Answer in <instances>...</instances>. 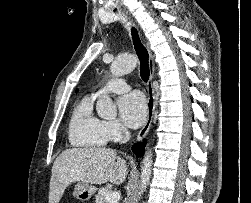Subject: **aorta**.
<instances>
[{"label":"aorta","instance_id":"obj_1","mask_svg":"<svg viewBox=\"0 0 251 203\" xmlns=\"http://www.w3.org/2000/svg\"><path fill=\"white\" fill-rule=\"evenodd\" d=\"M137 58L134 55L122 56L115 59L110 67L113 76L119 77L126 75L134 70L137 65ZM96 110L100 117L106 119H113L117 115L116 105L108 95H102L96 104ZM152 152L148 149L145 152L139 181V196L143 194L150 181L151 168H152Z\"/></svg>","mask_w":251,"mask_h":203}]
</instances>
